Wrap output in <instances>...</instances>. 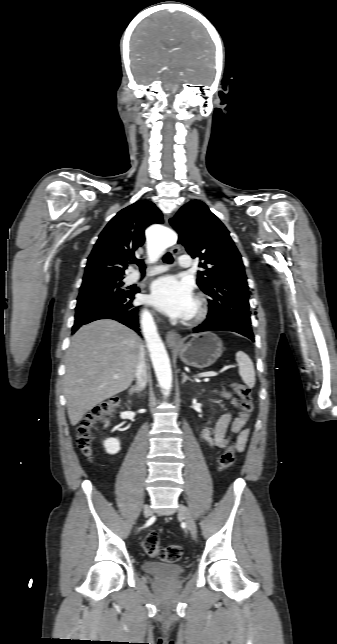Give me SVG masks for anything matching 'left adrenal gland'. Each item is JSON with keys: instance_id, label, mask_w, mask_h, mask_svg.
Segmentation results:
<instances>
[{"instance_id": "a2214340", "label": "left adrenal gland", "mask_w": 337, "mask_h": 644, "mask_svg": "<svg viewBox=\"0 0 337 644\" xmlns=\"http://www.w3.org/2000/svg\"><path fill=\"white\" fill-rule=\"evenodd\" d=\"M182 377H183V378H182V384H184L187 380H189V381H191V382H194V381H193L191 378H189V377L186 375V373H184V372L182 373Z\"/></svg>"}]
</instances>
